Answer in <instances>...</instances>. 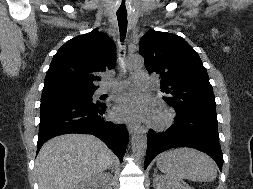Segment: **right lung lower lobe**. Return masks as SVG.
Instances as JSON below:
<instances>
[{
  "label": "right lung lower lobe",
  "mask_w": 253,
  "mask_h": 189,
  "mask_svg": "<svg viewBox=\"0 0 253 189\" xmlns=\"http://www.w3.org/2000/svg\"><path fill=\"white\" fill-rule=\"evenodd\" d=\"M105 110V104L92 101H41L37 153L51 137L66 133H89L103 140L122 162L129 135L123 124L106 120Z\"/></svg>",
  "instance_id": "98d812e1"
}]
</instances>
